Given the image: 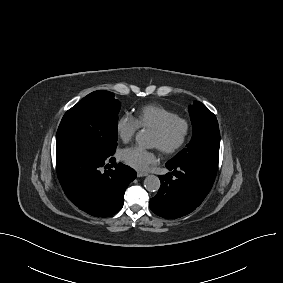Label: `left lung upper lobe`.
I'll list each match as a JSON object with an SVG mask.
<instances>
[{
	"mask_svg": "<svg viewBox=\"0 0 283 283\" xmlns=\"http://www.w3.org/2000/svg\"><path fill=\"white\" fill-rule=\"evenodd\" d=\"M189 113L193 125L192 140L169 162L198 163L217 173L220 132L216 116L198 101L189 106Z\"/></svg>",
	"mask_w": 283,
	"mask_h": 283,
	"instance_id": "1",
	"label": "left lung upper lobe"
}]
</instances>
